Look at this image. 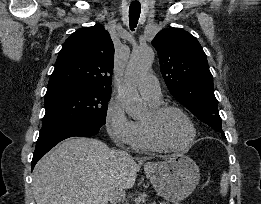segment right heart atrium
I'll return each instance as SVG.
<instances>
[{
  "label": "right heart atrium",
  "mask_w": 261,
  "mask_h": 204,
  "mask_svg": "<svg viewBox=\"0 0 261 204\" xmlns=\"http://www.w3.org/2000/svg\"><path fill=\"white\" fill-rule=\"evenodd\" d=\"M104 124L110 138L121 145H132L135 124L126 114L121 102L112 98L107 105Z\"/></svg>",
  "instance_id": "right-heart-atrium-1"
}]
</instances>
